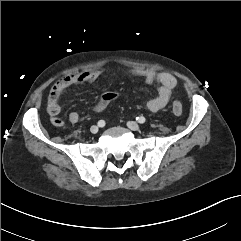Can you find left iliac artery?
Returning <instances> with one entry per match:
<instances>
[{
    "label": "left iliac artery",
    "instance_id": "1",
    "mask_svg": "<svg viewBox=\"0 0 241 241\" xmlns=\"http://www.w3.org/2000/svg\"><path fill=\"white\" fill-rule=\"evenodd\" d=\"M136 120H137V122H139L141 124L145 123V121H146L145 117H143V116L137 117Z\"/></svg>",
    "mask_w": 241,
    "mask_h": 241
}]
</instances>
